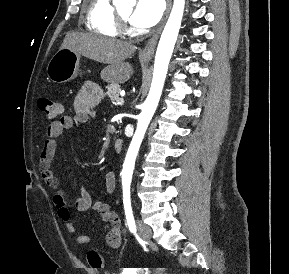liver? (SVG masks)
<instances>
[{
    "label": "liver",
    "instance_id": "obj_1",
    "mask_svg": "<svg viewBox=\"0 0 289 274\" xmlns=\"http://www.w3.org/2000/svg\"><path fill=\"white\" fill-rule=\"evenodd\" d=\"M68 48L94 61L108 64L101 77L110 83H124L133 74L132 65L125 60L136 46L115 39L98 37L91 33L71 32L66 35L60 49Z\"/></svg>",
    "mask_w": 289,
    "mask_h": 274
}]
</instances>
